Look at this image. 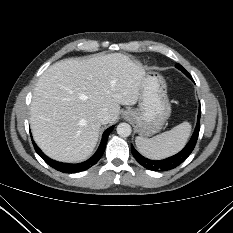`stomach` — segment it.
I'll use <instances>...</instances> for the list:
<instances>
[{
	"instance_id": "obj_1",
	"label": "stomach",
	"mask_w": 233,
	"mask_h": 233,
	"mask_svg": "<svg viewBox=\"0 0 233 233\" xmlns=\"http://www.w3.org/2000/svg\"><path fill=\"white\" fill-rule=\"evenodd\" d=\"M170 114L166 82L159 73L149 70L141 82L138 107L124 111L123 116L135 124L139 135L148 137L162 129Z\"/></svg>"
}]
</instances>
